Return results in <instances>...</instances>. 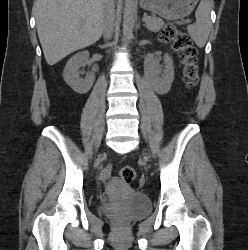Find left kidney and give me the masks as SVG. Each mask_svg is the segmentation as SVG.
<instances>
[{
	"label": "left kidney",
	"instance_id": "left-kidney-1",
	"mask_svg": "<svg viewBox=\"0 0 248 250\" xmlns=\"http://www.w3.org/2000/svg\"><path fill=\"white\" fill-rule=\"evenodd\" d=\"M164 61L166 64L165 70L161 77H156L154 79V89L157 92H162L166 89H169L172 81L174 79V67H173V61L172 58L168 55H164ZM159 74V72L156 73V75Z\"/></svg>",
	"mask_w": 248,
	"mask_h": 250
}]
</instances>
